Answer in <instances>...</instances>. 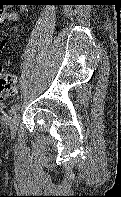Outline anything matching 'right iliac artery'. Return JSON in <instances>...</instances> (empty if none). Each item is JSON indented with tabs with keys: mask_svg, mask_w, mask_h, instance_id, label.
Listing matches in <instances>:
<instances>
[{
	"mask_svg": "<svg viewBox=\"0 0 121 197\" xmlns=\"http://www.w3.org/2000/svg\"><path fill=\"white\" fill-rule=\"evenodd\" d=\"M19 108H20V104L19 103L13 105L11 107V110H10V115L14 116L16 114V112L19 110Z\"/></svg>",
	"mask_w": 121,
	"mask_h": 197,
	"instance_id": "right-iliac-artery-1",
	"label": "right iliac artery"
}]
</instances>
